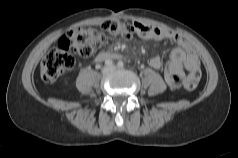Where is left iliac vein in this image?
<instances>
[{
  "instance_id": "1",
  "label": "left iliac vein",
  "mask_w": 238,
  "mask_h": 158,
  "mask_svg": "<svg viewBox=\"0 0 238 158\" xmlns=\"http://www.w3.org/2000/svg\"><path fill=\"white\" fill-rule=\"evenodd\" d=\"M115 68H116L115 66H112V67H111V70H115Z\"/></svg>"
}]
</instances>
